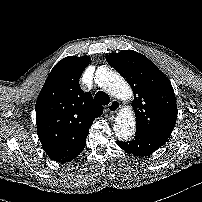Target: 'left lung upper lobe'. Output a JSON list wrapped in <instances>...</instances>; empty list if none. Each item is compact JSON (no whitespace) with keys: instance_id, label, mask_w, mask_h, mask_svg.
Returning a JSON list of instances; mask_svg holds the SVG:
<instances>
[{"instance_id":"obj_1","label":"left lung upper lobe","mask_w":202,"mask_h":202,"mask_svg":"<svg viewBox=\"0 0 202 202\" xmlns=\"http://www.w3.org/2000/svg\"><path fill=\"white\" fill-rule=\"evenodd\" d=\"M134 92L136 133L168 139L177 119V105L170 80L144 55L123 50L107 57Z\"/></svg>"}]
</instances>
